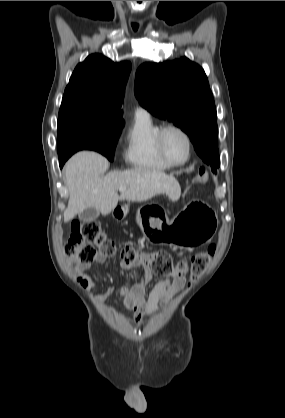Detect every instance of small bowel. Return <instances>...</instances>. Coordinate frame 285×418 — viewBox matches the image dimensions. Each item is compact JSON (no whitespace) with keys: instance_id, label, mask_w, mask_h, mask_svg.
I'll return each instance as SVG.
<instances>
[{"instance_id":"obj_1","label":"small bowel","mask_w":285,"mask_h":418,"mask_svg":"<svg viewBox=\"0 0 285 418\" xmlns=\"http://www.w3.org/2000/svg\"><path fill=\"white\" fill-rule=\"evenodd\" d=\"M106 254L103 252L97 253L95 262L103 264L106 261ZM68 263L74 272L81 275H87L92 269L91 265H83L77 259L68 258ZM120 266L125 270L141 269L138 281L130 286L122 287L120 290V297L122 298L124 307L132 312L131 321L133 323H140L145 317L152 315L161 301H166L172 298L175 294L180 292L186 283L184 276H177L172 280H161L155 284L150 293L146 296L145 290L147 284L153 277L152 262L148 256L142 255L134 261L126 262L123 259L119 261ZM90 283L89 288L95 285L94 279L88 276ZM114 288L110 286L107 288L101 298L108 297Z\"/></svg>"}]
</instances>
